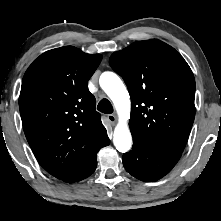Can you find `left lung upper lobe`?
Returning <instances> with one entry per match:
<instances>
[{
	"label": "left lung upper lobe",
	"instance_id": "left-lung-upper-lobe-1",
	"mask_svg": "<svg viewBox=\"0 0 221 221\" xmlns=\"http://www.w3.org/2000/svg\"><path fill=\"white\" fill-rule=\"evenodd\" d=\"M109 64L131 96L132 137L169 152H183L195 117V79L168 44L137 41L114 52Z\"/></svg>",
	"mask_w": 221,
	"mask_h": 221
}]
</instances>
